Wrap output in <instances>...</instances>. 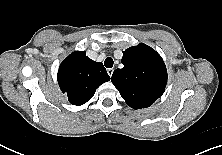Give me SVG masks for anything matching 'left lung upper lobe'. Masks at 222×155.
Here are the masks:
<instances>
[{
	"label": "left lung upper lobe",
	"mask_w": 222,
	"mask_h": 155,
	"mask_svg": "<svg viewBox=\"0 0 222 155\" xmlns=\"http://www.w3.org/2000/svg\"><path fill=\"white\" fill-rule=\"evenodd\" d=\"M124 67L113 72L111 81L126 103L141 109L151 106L164 92L167 70L161 56L144 43L123 52Z\"/></svg>",
	"instance_id": "left-lung-upper-lobe-1"
}]
</instances>
